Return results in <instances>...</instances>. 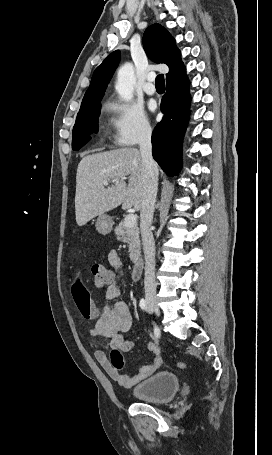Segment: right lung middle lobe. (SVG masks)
Wrapping results in <instances>:
<instances>
[{
	"instance_id": "dd1d6c3e",
	"label": "right lung middle lobe",
	"mask_w": 272,
	"mask_h": 455,
	"mask_svg": "<svg viewBox=\"0 0 272 455\" xmlns=\"http://www.w3.org/2000/svg\"><path fill=\"white\" fill-rule=\"evenodd\" d=\"M100 104L79 110L73 128L72 148L77 151L91 140L90 133L98 131Z\"/></svg>"
}]
</instances>
